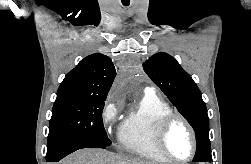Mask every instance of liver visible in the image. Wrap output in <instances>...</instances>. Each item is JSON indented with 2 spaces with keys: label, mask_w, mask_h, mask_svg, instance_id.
<instances>
[{
  "label": "liver",
  "mask_w": 251,
  "mask_h": 164,
  "mask_svg": "<svg viewBox=\"0 0 251 164\" xmlns=\"http://www.w3.org/2000/svg\"><path fill=\"white\" fill-rule=\"evenodd\" d=\"M58 164H155L115 154L104 149L88 148L76 151Z\"/></svg>",
  "instance_id": "liver-1"
}]
</instances>
